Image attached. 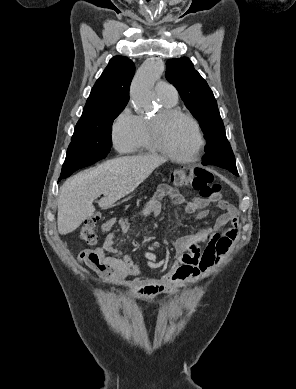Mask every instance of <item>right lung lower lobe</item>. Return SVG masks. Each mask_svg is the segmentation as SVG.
Masks as SVG:
<instances>
[{"instance_id": "1", "label": "right lung lower lobe", "mask_w": 296, "mask_h": 389, "mask_svg": "<svg viewBox=\"0 0 296 389\" xmlns=\"http://www.w3.org/2000/svg\"><path fill=\"white\" fill-rule=\"evenodd\" d=\"M71 174H72L71 172L61 173L60 178H59V181H60L61 179H63V178H66V177L70 176Z\"/></svg>"}]
</instances>
